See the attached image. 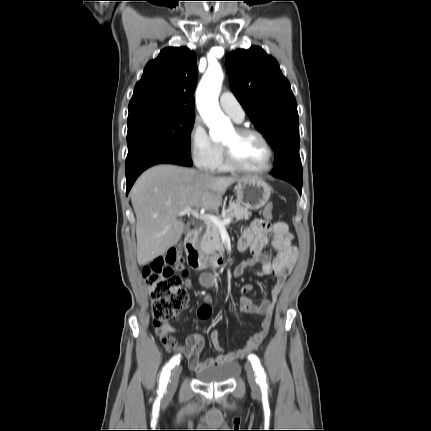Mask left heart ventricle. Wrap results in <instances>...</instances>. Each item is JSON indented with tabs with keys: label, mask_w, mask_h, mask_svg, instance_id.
Masks as SVG:
<instances>
[{
	"label": "left heart ventricle",
	"mask_w": 431,
	"mask_h": 431,
	"mask_svg": "<svg viewBox=\"0 0 431 431\" xmlns=\"http://www.w3.org/2000/svg\"><path fill=\"white\" fill-rule=\"evenodd\" d=\"M223 143L231 148L234 157L242 166L260 168L267 162L266 147L254 135L239 136L232 130L224 137Z\"/></svg>",
	"instance_id": "b2bd125f"
}]
</instances>
